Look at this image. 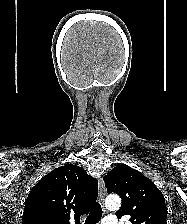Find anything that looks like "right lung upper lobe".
<instances>
[{
  "label": "right lung upper lobe",
  "mask_w": 187,
  "mask_h": 224,
  "mask_svg": "<svg viewBox=\"0 0 187 224\" xmlns=\"http://www.w3.org/2000/svg\"><path fill=\"white\" fill-rule=\"evenodd\" d=\"M98 181L79 166L66 164L44 176L30 191L23 224H76L97 198Z\"/></svg>",
  "instance_id": "1"
}]
</instances>
